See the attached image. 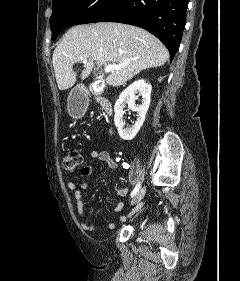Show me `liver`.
Instances as JSON below:
<instances>
[{"mask_svg":"<svg viewBox=\"0 0 240 281\" xmlns=\"http://www.w3.org/2000/svg\"><path fill=\"white\" fill-rule=\"evenodd\" d=\"M169 58L167 48L146 30L121 23L77 25L68 30L53 52L52 61L59 90L76 82L73 66L87 59L81 73L86 79L97 63L99 66L119 65L106 78V83L118 87L140 71L160 67Z\"/></svg>","mask_w":240,"mask_h":281,"instance_id":"liver-1","label":"liver"}]
</instances>
